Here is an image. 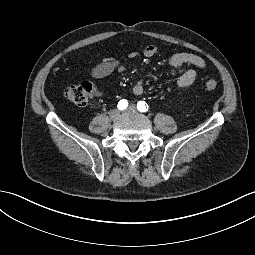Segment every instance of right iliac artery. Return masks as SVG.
<instances>
[{"instance_id":"82829eb1","label":"right iliac artery","mask_w":255,"mask_h":255,"mask_svg":"<svg viewBox=\"0 0 255 255\" xmlns=\"http://www.w3.org/2000/svg\"><path fill=\"white\" fill-rule=\"evenodd\" d=\"M127 106H128V101L125 100V99L120 100V101L118 102V105H117V107H118L119 110H124V109L127 108Z\"/></svg>"}]
</instances>
